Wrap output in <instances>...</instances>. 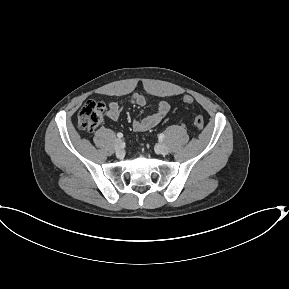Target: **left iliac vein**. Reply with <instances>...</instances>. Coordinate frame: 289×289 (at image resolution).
Here are the masks:
<instances>
[{
    "label": "left iliac vein",
    "instance_id": "4c4485c4",
    "mask_svg": "<svg viewBox=\"0 0 289 289\" xmlns=\"http://www.w3.org/2000/svg\"><path fill=\"white\" fill-rule=\"evenodd\" d=\"M157 151L162 154V155H166L169 152V148L167 147L166 144L164 143H159L156 147Z\"/></svg>",
    "mask_w": 289,
    "mask_h": 289
}]
</instances>
